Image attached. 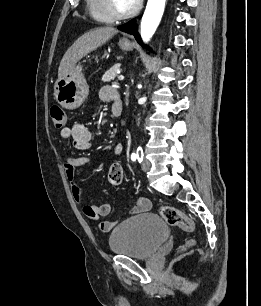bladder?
<instances>
[{
  "mask_svg": "<svg viewBox=\"0 0 261 306\" xmlns=\"http://www.w3.org/2000/svg\"><path fill=\"white\" fill-rule=\"evenodd\" d=\"M168 235L169 227L159 215L143 213L120 223L109 236V247L116 255L146 259Z\"/></svg>",
  "mask_w": 261,
  "mask_h": 306,
  "instance_id": "1",
  "label": "bladder"
}]
</instances>
